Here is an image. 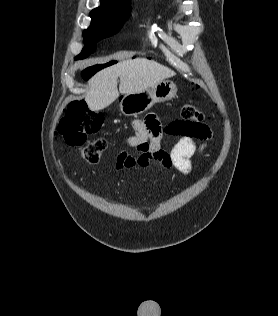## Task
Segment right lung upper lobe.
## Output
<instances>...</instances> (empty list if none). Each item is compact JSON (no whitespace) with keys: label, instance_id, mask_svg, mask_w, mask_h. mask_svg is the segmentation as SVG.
<instances>
[{"label":"right lung upper lobe","instance_id":"right-lung-upper-lobe-1","mask_svg":"<svg viewBox=\"0 0 278 316\" xmlns=\"http://www.w3.org/2000/svg\"><path fill=\"white\" fill-rule=\"evenodd\" d=\"M99 9H129L130 0H100Z\"/></svg>","mask_w":278,"mask_h":316}]
</instances>
